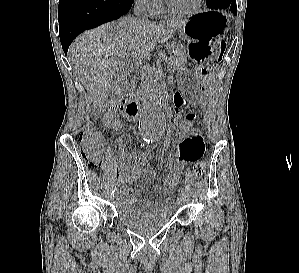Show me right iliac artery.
<instances>
[{
	"mask_svg": "<svg viewBox=\"0 0 299 273\" xmlns=\"http://www.w3.org/2000/svg\"><path fill=\"white\" fill-rule=\"evenodd\" d=\"M114 193H115V190L112 191L113 196H114Z\"/></svg>",
	"mask_w": 299,
	"mask_h": 273,
	"instance_id": "82829eb1",
	"label": "right iliac artery"
}]
</instances>
